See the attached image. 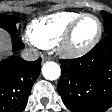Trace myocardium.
<instances>
[{
  "label": "myocardium",
  "mask_w": 112,
  "mask_h": 112,
  "mask_svg": "<svg viewBox=\"0 0 112 112\" xmlns=\"http://www.w3.org/2000/svg\"><path fill=\"white\" fill-rule=\"evenodd\" d=\"M85 17H93L97 23H98V31L96 36L93 38V40L87 44L84 47L81 48H74L71 45L72 37L74 34V31L78 24L85 18ZM103 33V25L99 17L92 13H82L79 15L75 20L72 21V23L69 25V27L66 29L62 37L60 38L59 42L57 43V50L59 54L66 58H79L87 53H89L92 49L95 48V46L99 43L101 40Z\"/></svg>",
  "instance_id": "1"
}]
</instances>
